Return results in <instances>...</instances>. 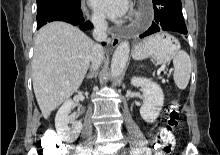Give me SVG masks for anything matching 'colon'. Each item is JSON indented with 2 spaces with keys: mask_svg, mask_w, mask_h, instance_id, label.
Returning a JSON list of instances; mask_svg holds the SVG:
<instances>
[{
  "mask_svg": "<svg viewBox=\"0 0 220 155\" xmlns=\"http://www.w3.org/2000/svg\"><path fill=\"white\" fill-rule=\"evenodd\" d=\"M180 105L177 100H173L166 110L165 126L162 128L157 144H149V149H154L155 155H170L174 145L172 130L179 124ZM43 155H63L64 146L58 142L55 135L49 133L43 138Z\"/></svg>",
  "mask_w": 220,
  "mask_h": 155,
  "instance_id": "5ec220e1",
  "label": "colon"
}]
</instances>
